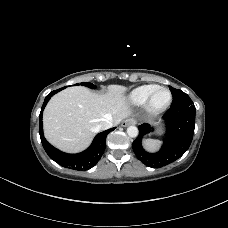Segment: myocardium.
I'll return each instance as SVG.
<instances>
[{
    "instance_id": "obj_1",
    "label": "myocardium",
    "mask_w": 228,
    "mask_h": 228,
    "mask_svg": "<svg viewBox=\"0 0 228 228\" xmlns=\"http://www.w3.org/2000/svg\"><path fill=\"white\" fill-rule=\"evenodd\" d=\"M160 90H166V91L168 92V94H169V100H168V102H167L165 105L156 108V107L153 106V100H154V97H155V95L157 94V92L160 91ZM172 99H173V98H172V93H171V91H170L168 88L163 87V86H158V87L150 94V96L148 97V99H147L146 102L144 103V109H145L146 113H147L148 115H150V116L159 115V114L165 112V111L170 107V105H171V103H172Z\"/></svg>"
}]
</instances>
